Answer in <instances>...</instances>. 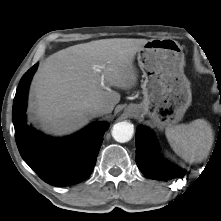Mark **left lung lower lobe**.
Returning a JSON list of instances; mask_svg holds the SVG:
<instances>
[{"label":"left lung lower lobe","instance_id":"left-lung-lower-lobe-1","mask_svg":"<svg viewBox=\"0 0 221 221\" xmlns=\"http://www.w3.org/2000/svg\"><path fill=\"white\" fill-rule=\"evenodd\" d=\"M136 162L142 173L148 178L167 181L175 178H183L186 171L167 162L158 155L153 132L139 126L136 133ZM221 143V135L218 134L217 142Z\"/></svg>","mask_w":221,"mask_h":221}]
</instances>
